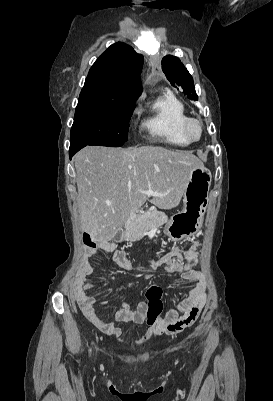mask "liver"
I'll use <instances>...</instances> for the list:
<instances>
[{
	"label": "liver",
	"mask_w": 273,
	"mask_h": 401,
	"mask_svg": "<svg viewBox=\"0 0 273 401\" xmlns=\"http://www.w3.org/2000/svg\"><path fill=\"white\" fill-rule=\"evenodd\" d=\"M83 233L94 241H111L142 207L154 190L151 203L158 209L178 207L189 180V170L203 164L192 150L162 146L111 148L85 146L74 156Z\"/></svg>",
	"instance_id": "liver-1"
}]
</instances>
